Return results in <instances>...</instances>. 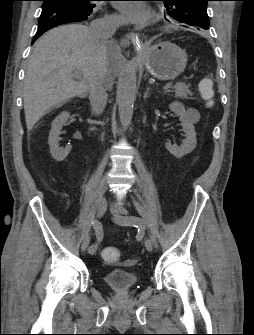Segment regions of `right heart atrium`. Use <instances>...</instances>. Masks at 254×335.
<instances>
[{
    "instance_id": "obj_1",
    "label": "right heart atrium",
    "mask_w": 254,
    "mask_h": 335,
    "mask_svg": "<svg viewBox=\"0 0 254 335\" xmlns=\"http://www.w3.org/2000/svg\"><path fill=\"white\" fill-rule=\"evenodd\" d=\"M105 19L106 21H110V22H116L119 20L117 15H110V16H107Z\"/></svg>"
}]
</instances>
